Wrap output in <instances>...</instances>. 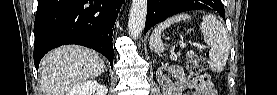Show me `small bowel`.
Wrapping results in <instances>:
<instances>
[{
  "label": "small bowel",
  "instance_id": "obj_1",
  "mask_svg": "<svg viewBox=\"0 0 277 95\" xmlns=\"http://www.w3.org/2000/svg\"><path fill=\"white\" fill-rule=\"evenodd\" d=\"M177 77L184 81L183 89L191 91L193 95H213L212 82L205 75L188 76L184 71H180ZM169 94V93H168Z\"/></svg>",
  "mask_w": 277,
  "mask_h": 95
}]
</instances>
